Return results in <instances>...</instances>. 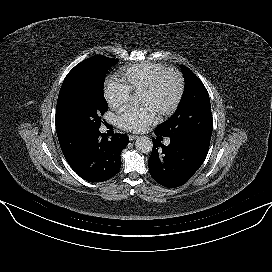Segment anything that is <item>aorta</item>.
<instances>
[{
  "label": "aorta",
  "mask_w": 272,
  "mask_h": 272,
  "mask_svg": "<svg viewBox=\"0 0 272 272\" xmlns=\"http://www.w3.org/2000/svg\"><path fill=\"white\" fill-rule=\"evenodd\" d=\"M135 147L141 153H149L152 151L153 142L152 139L147 136H140L136 139Z\"/></svg>",
  "instance_id": "obj_1"
}]
</instances>
